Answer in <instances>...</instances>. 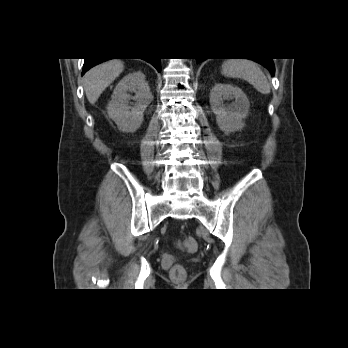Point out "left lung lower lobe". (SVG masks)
I'll list each match as a JSON object with an SVG mask.
<instances>
[{
  "instance_id": "obj_1",
  "label": "left lung lower lobe",
  "mask_w": 348,
  "mask_h": 348,
  "mask_svg": "<svg viewBox=\"0 0 348 348\" xmlns=\"http://www.w3.org/2000/svg\"><path fill=\"white\" fill-rule=\"evenodd\" d=\"M197 63L203 61L204 59H196ZM258 63H260L261 65H263L264 67H266L272 74V76L275 73V67H274V63L272 59H260V60H256V59H252Z\"/></svg>"
}]
</instances>
